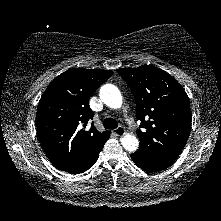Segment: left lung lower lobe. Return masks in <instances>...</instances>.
<instances>
[{
    "label": "left lung lower lobe",
    "instance_id": "1",
    "mask_svg": "<svg viewBox=\"0 0 221 221\" xmlns=\"http://www.w3.org/2000/svg\"><path fill=\"white\" fill-rule=\"evenodd\" d=\"M131 158L138 167L150 172L165 169L172 165L176 159L159 155H150L140 151L131 154Z\"/></svg>",
    "mask_w": 221,
    "mask_h": 221
}]
</instances>
